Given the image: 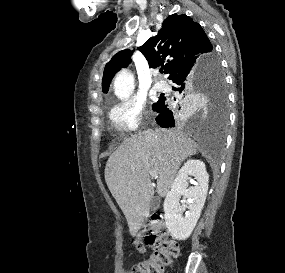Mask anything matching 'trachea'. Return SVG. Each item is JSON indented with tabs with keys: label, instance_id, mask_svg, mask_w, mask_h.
Masks as SVG:
<instances>
[{
	"label": "trachea",
	"instance_id": "trachea-1",
	"mask_svg": "<svg viewBox=\"0 0 285 273\" xmlns=\"http://www.w3.org/2000/svg\"><path fill=\"white\" fill-rule=\"evenodd\" d=\"M160 73H163V69L160 70Z\"/></svg>",
	"mask_w": 285,
	"mask_h": 273
}]
</instances>
